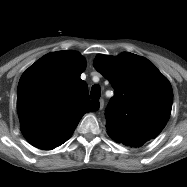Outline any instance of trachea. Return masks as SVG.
I'll return each mask as SVG.
<instances>
[{"instance_id":"3493384b","label":"trachea","mask_w":187,"mask_h":187,"mask_svg":"<svg viewBox=\"0 0 187 187\" xmlns=\"http://www.w3.org/2000/svg\"><path fill=\"white\" fill-rule=\"evenodd\" d=\"M101 95V89L99 85H93L91 88L90 98L92 99H98Z\"/></svg>"}]
</instances>
